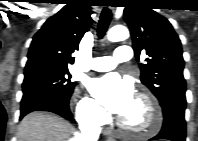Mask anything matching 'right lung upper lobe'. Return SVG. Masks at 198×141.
Returning <instances> with one entry per match:
<instances>
[{"mask_svg":"<svg viewBox=\"0 0 198 141\" xmlns=\"http://www.w3.org/2000/svg\"><path fill=\"white\" fill-rule=\"evenodd\" d=\"M90 6L86 0H71L43 24L30 45L25 72L68 69L74 63L72 54L92 23Z\"/></svg>","mask_w":198,"mask_h":141,"instance_id":"1","label":"right lung upper lobe"}]
</instances>
